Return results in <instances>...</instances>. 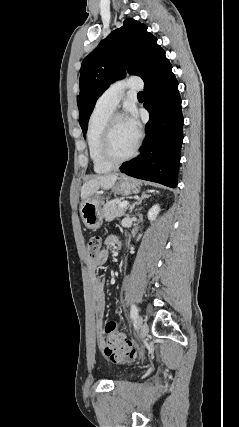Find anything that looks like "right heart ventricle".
Segmentation results:
<instances>
[{"mask_svg":"<svg viewBox=\"0 0 239 427\" xmlns=\"http://www.w3.org/2000/svg\"><path fill=\"white\" fill-rule=\"evenodd\" d=\"M111 114V111L95 107L90 115L87 125L86 141L88 152L93 164V169L97 173H106L113 167L106 163L100 154V143L103 129Z\"/></svg>","mask_w":239,"mask_h":427,"instance_id":"e07e8e85","label":"right heart ventricle"}]
</instances>
